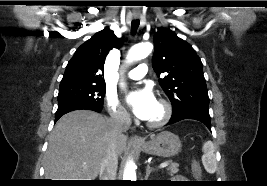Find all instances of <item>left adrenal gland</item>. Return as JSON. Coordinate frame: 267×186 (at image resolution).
Masks as SVG:
<instances>
[{
    "label": "left adrenal gland",
    "instance_id": "1",
    "mask_svg": "<svg viewBox=\"0 0 267 186\" xmlns=\"http://www.w3.org/2000/svg\"><path fill=\"white\" fill-rule=\"evenodd\" d=\"M154 171V168L150 167V165L148 164L147 165V168H146V176H145V179L147 180L148 177L150 176V173Z\"/></svg>",
    "mask_w": 267,
    "mask_h": 186
}]
</instances>
